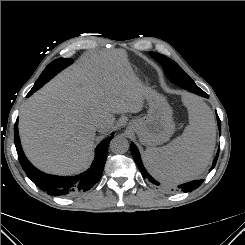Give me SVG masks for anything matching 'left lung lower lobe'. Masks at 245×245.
Masks as SVG:
<instances>
[{
	"label": "left lung lower lobe",
	"mask_w": 245,
	"mask_h": 245,
	"mask_svg": "<svg viewBox=\"0 0 245 245\" xmlns=\"http://www.w3.org/2000/svg\"><path fill=\"white\" fill-rule=\"evenodd\" d=\"M175 84L179 85L180 87H182V88H184V89H186V90H188L190 92L198 94L200 96H203V97H206V98L208 97V95L203 90H201L197 85L194 86V87H191L190 85H188L187 82H184L183 80H178V83H175ZM216 114H217V112H216ZM217 123H218L219 133L221 134V121H220L218 115H217ZM131 153H132V156L134 158L135 163L137 164V167L141 171V174H142L143 178H147L153 184L159 185V183L156 180H154L148 174L146 169L144 168V166L142 164V161H141V158H140L139 151H138L137 147L134 144H131ZM218 156H219V149H218V152L216 154V157L213 160L212 168L215 167L217 159H218ZM202 182H203V180H194V181L182 184L178 188L181 189L183 192H190V191H193L196 188H198L202 184Z\"/></svg>",
	"instance_id": "obj_1"
}]
</instances>
